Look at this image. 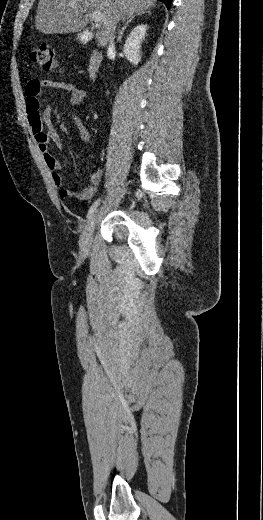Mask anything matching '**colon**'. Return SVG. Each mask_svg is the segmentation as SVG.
Masks as SVG:
<instances>
[{
	"label": "colon",
	"mask_w": 263,
	"mask_h": 520,
	"mask_svg": "<svg viewBox=\"0 0 263 520\" xmlns=\"http://www.w3.org/2000/svg\"><path fill=\"white\" fill-rule=\"evenodd\" d=\"M30 59L45 71L57 68L54 49L48 44H42L30 52Z\"/></svg>",
	"instance_id": "colon-1"
}]
</instances>
